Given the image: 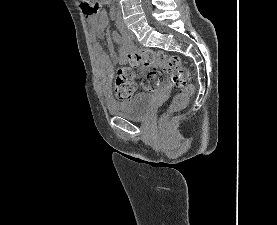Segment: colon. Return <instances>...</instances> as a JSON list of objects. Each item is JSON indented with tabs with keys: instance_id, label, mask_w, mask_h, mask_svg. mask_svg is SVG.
Returning a JSON list of instances; mask_svg holds the SVG:
<instances>
[{
	"instance_id": "colon-1",
	"label": "colon",
	"mask_w": 277,
	"mask_h": 225,
	"mask_svg": "<svg viewBox=\"0 0 277 225\" xmlns=\"http://www.w3.org/2000/svg\"><path fill=\"white\" fill-rule=\"evenodd\" d=\"M81 7L83 12L88 15L97 14L100 9L97 0H82ZM126 60L127 64L121 65L116 72L115 97L117 100L127 101L132 98L136 91L132 67L142 66L152 69L145 77L143 84L145 90L152 92L159 90L165 82V75H169L172 83L180 89L163 115V121L166 120L168 114L178 112L186 107L194 88L190 83V74L183 66L179 56L167 55L152 49H142L128 55Z\"/></svg>"
}]
</instances>
